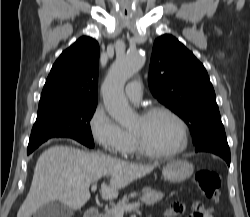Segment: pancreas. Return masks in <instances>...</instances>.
<instances>
[{
  "label": "pancreas",
  "mask_w": 250,
  "mask_h": 217,
  "mask_svg": "<svg viewBox=\"0 0 250 217\" xmlns=\"http://www.w3.org/2000/svg\"><path fill=\"white\" fill-rule=\"evenodd\" d=\"M163 198V194L157 192L156 190H151L150 188H144L142 191V196L140 200L146 205L153 206ZM128 198L124 197L111 209L106 210V212L101 217H116L114 210L125 207L128 203Z\"/></svg>",
  "instance_id": "obj_1"
}]
</instances>
